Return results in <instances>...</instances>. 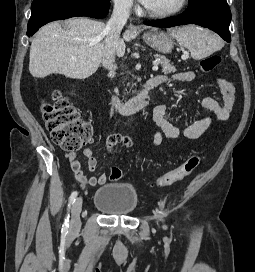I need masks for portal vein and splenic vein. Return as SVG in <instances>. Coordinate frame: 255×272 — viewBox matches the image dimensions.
I'll return each mask as SVG.
<instances>
[{"label": "portal vein and splenic vein", "mask_w": 255, "mask_h": 272, "mask_svg": "<svg viewBox=\"0 0 255 272\" xmlns=\"http://www.w3.org/2000/svg\"><path fill=\"white\" fill-rule=\"evenodd\" d=\"M152 70L153 71H157L158 70V63L157 62L153 63Z\"/></svg>", "instance_id": "1"}]
</instances>
